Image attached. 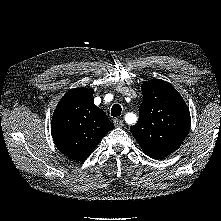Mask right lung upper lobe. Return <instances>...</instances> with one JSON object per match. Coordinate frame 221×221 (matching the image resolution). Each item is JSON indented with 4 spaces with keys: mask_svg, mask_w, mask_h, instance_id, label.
<instances>
[{
    "mask_svg": "<svg viewBox=\"0 0 221 221\" xmlns=\"http://www.w3.org/2000/svg\"><path fill=\"white\" fill-rule=\"evenodd\" d=\"M94 90L75 88L59 101L51 121V134L61 153L83 160L114 128L103 110L94 104Z\"/></svg>",
    "mask_w": 221,
    "mask_h": 221,
    "instance_id": "obj_1",
    "label": "right lung upper lobe"
}]
</instances>
